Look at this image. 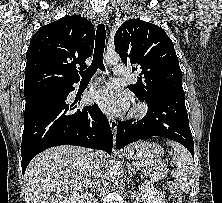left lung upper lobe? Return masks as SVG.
Returning a JSON list of instances; mask_svg holds the SVG:
<instances>
[{"mask_svg":"<svg viewBox=\"0 0 222 203\" xmlns=\"http://www.w3.org/2000/svg\"><path fill=\"white\" fill-rule=\"evenodd\" d=\"M114 44L122 62L140 72L137 83L128 86L137 98L148 101L164 92L184 95L173 42L161 27L130 19L118 28Z\"/></svg>","mask_w":222,"mask_h":203,"instance_id":"5c2ea615","label":"left lung upper lobe"}]
</instances>
